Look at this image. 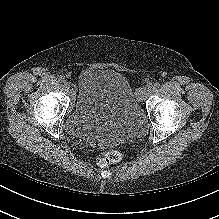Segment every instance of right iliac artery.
<instances>
[{
  "label": "right iliac artery",
  "instance_id": "82829eb1",
  "mask_svg": "<svg viewBox=\"0 0 219 219\" xmlns=\"http://www.w3.org/2000/svg\"><path fill=\"white\" fill-rule=\"evenodd\" d=\"M59 81H60V82H65V81H66V80H65V76H62V75H61V76L59 77Z\"/></svg>",
  "mask_w": 219,
  "mask_h": 219
}]
</instances>
